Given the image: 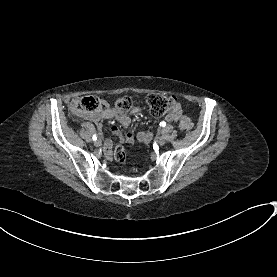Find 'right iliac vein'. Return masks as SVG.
<instances>
[{
	"label": "right iliac vein",
	"instance_id": "obj_1",
	"mask_svg": "<svg viewBox=\"0 0 277 277\" xmlns=\"http://www.w3.org/2000/svg\"><path fill=\"white\" fill-rule=\"evenodd\" d=\"M94 145H95L96 147H100V146L102 145L101 140H100V139L95 140Z\"/></svg>",
	"mask_w": 277,
	"mask_h": 277
}]
</instances>
